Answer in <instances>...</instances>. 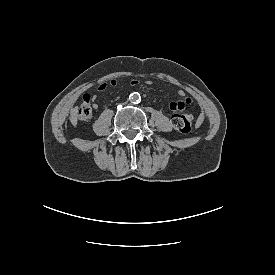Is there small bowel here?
Wrapping results in <instances>:
<instances>
[{"label":"small bowel","mask_w":275,"mask_h":275,"mask_svg":"<svg viewBox=\"0 0 275 275\" xmlns=\"http://www.w3.org/2000/svg\"><path fill=\"white\" fill-rule=\"evenodd\" d=\"M139 82H135L133 84H138ZM105 84V83H104ZM104 84H101L100 85V88L99 90H104L105 88H102L104 86ZM102 88V89H101ZM179 95L184 97L185 96V93L184 91H179ZM91 103H92V107L94 109H97L98 108V102H97V99H98V95L97 94H93L91 97ZM192 102V99L190 97H184L182 100H178V101H173L169 104V107L171 110H185V108L190 105ZM203 123V115L202 113H199L197 115V120H196V124L197 125H201Z\"/></svg>","instance_id":"c3829d8e"}]
</instances>
